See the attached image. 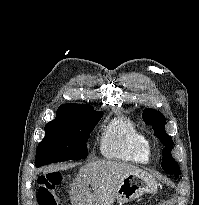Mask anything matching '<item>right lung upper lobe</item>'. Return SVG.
I'll return each instance as SVG.
<instances>
[{
	"label": "right lung upper lobe",
	"instance_id": "cb5924a9",
	"mask_svg": "<svg viewBox=\"0 0 199 205\" xmlns=\"http://www.w3.org/2000/svg\"><path fill=\"white\" fill-rule=\"evenodd\" d=\"M69 105H80V104L67 103V104H63V105H61L59 108L64 107V106H69Z\"/></svg>",
	"mask_w": 199,
	"mask_h": 205
}]
</instances>
